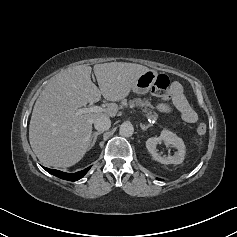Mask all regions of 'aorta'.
<instances>
[{"mask_svg": "<svg viewBox=\"0 0 237 237\" xmlns=\"http://www.w3.org/2000/svg\"><path fill=\"white\" fill-rule=\"evenodd\" d=\"M119 132L123 137H130L134 133V127L130 122H123L120 125Z\"/></svg>", "mask_w": 237, "mask_h": 237, "instance_id": "obj_1", "label": "aorta"}]
</instances>
